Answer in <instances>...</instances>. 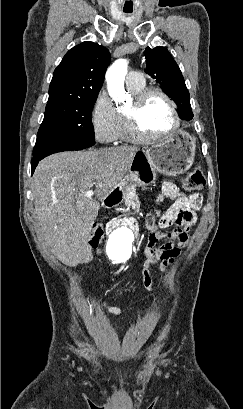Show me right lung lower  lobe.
<instances>
[{
    "mask_svg": "<svg viewBox=\"0 0 243 409\" xmlns=\"http://www.w3.org/2000/svg\"><path fill=\"white\" fill-rule=\"evenodd\" d=\"M95 144L94 138L80 136L72 139L38 137L31 160L32 174L38 162L48 155L62 151L82 150Z\"/></svg>",
    "mask_w": 243,
    "mask_h": 409,
    "instance_id": "98d812e1",
    "label": "right lung lower lobe"
}]
</instances>
